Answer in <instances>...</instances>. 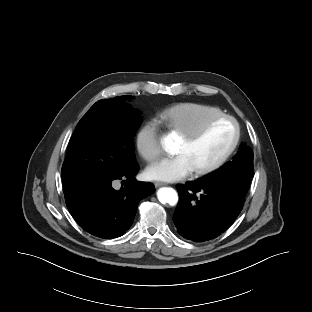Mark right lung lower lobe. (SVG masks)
<instances>
[{"label": "right lung lower lobe", "mask_w": 312, "mask_h": 312, "mask_svg": "<svg viewBox=\"0 0 312 312\" xmlns=\"http://www.w3.org/2000/svg\"><path fill=\"white\" fill-rule=\"evenodd\" d=\"M136 163L122 175L102 180L65 196L67 208L77 223L88 233L110 239L122 236L132 225L138 202L155 191L152 183L137 182ZM127 179L130 185L119 191L113 180Z\"/></svg>", "instance_id": "98d812e1"}]
</instances>
